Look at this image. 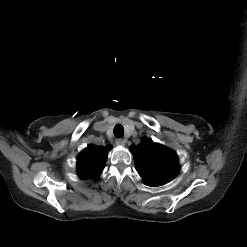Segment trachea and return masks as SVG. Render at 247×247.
Returning <instances> with one entry per match:
<instances>
[{
  "label": "trachea",
  "instance_id": "3493384b",
  "mask_svg": "<svg viewBox=\"0 0 247 247\" xmlns=\"http://www.w3.org/2000/svg\"><path fill=\"white\" fill-rule=\"evenodd\" d=\"M114 135L118 138L122 137L124 135V128L122 125L120 124H117L115 127H114Z\"/></svg>",
  "mask_w": 247,
  "mask_h": 247
}]
</instances>
